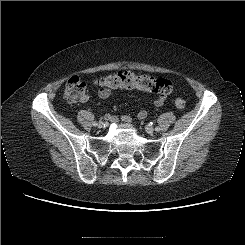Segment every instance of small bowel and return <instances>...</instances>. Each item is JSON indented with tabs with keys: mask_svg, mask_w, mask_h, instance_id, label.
<instances>
[{
	"mask_svg": "<svg viewBox=\"0 0 245 245\" xmlns=\"http://www.w3.org/2000/svg\"><path fill=\"white\" fill-rule=\"evenodd\" d=\"M111 94V91H105V90H102V89H99L98 91V96L101 98V99H106L110 96ZM88 100V96L85 95V97L83 98L82 102H86ZM166 101V96L164 95H161L160 97H158L155 101H154V105L156 107H161L163 106V104L165 103ZM148 116V112L146 110H140L137 114V117L141 120L143 119H146ZM121 120L123 122H126V123H131L132 122V119L129 115H122L121 116Z\"/></svg>",
	"mask_w": 245,
	"mask_h": 245,
	"instance_id": "1",
	"label": "small bowel"
}]
</instances>
